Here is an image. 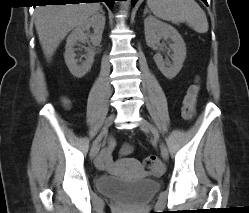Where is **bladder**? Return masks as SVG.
Returning a JSON list of instances; mask_svg holds the SVG:
<instances>
[{
  "instance_id": "31cf9c89",
  "label": "bladder",
  "mask_w": 249,
  "mask_h": 213,
  "mask_svg": "<svg viewBox=\"0 0 249 213\" xmlns=\"http://www.w3.org/2000/svg\"><path fill=\"white\" fill-rule=\"evenodd\" d=\"M97 188L101 193L112 198L141 203L158 191L159 183L150 177L126 180L113 176H102L97 180Z\"/></svg>"
}]
</instances>
